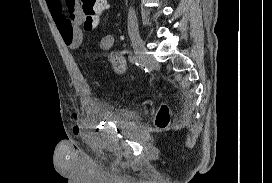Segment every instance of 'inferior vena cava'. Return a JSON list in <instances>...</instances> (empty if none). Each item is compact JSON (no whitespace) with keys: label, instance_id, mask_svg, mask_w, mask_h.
<instances>
[{"label":"inferior vena cava","instance_id":"inferior-vena-cava-1","mask_svg":"<svg viewBox=\"0 0 272 183\" xmlns=\"http://www.w3.org/2000/svg\"><path fill=\"white\" fill-rule=\"evenodd\" d=\"M138 24H137V17L135 14L134 9L130 8L129 13H128V30H134L137 29Z\"/></svg>","mask_w":272,"mask_h":183}]
</instances>
